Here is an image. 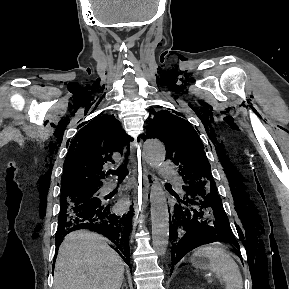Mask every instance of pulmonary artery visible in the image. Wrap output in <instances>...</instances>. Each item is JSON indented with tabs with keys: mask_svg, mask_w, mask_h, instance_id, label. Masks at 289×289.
Wrapping results in <instances>:
<instances>
[{
	"mask_svg": "<svg viewBox=\"0 0 289 289\" xmlns=\"http://www.w3.org/2000/svg\"><path fill=\"white\" fill-rule=\"evenodd\" d=\"M159 170H160V174L163 178H166V179H175L176 177V172L172 169V167L167 164V163H161L159 165ZM175 182L176 183H180L177 179H175ZM115 187V183H107L104 188H103V191L104 192H107V191H110L112 190L113 188Z\"/></svg>",
	"mask_w": 289,
	"mask_h": 289,
	"instance_id": "pulmonary-artery-1",
	"label": "pulmonary artery"
}]
</instances>
